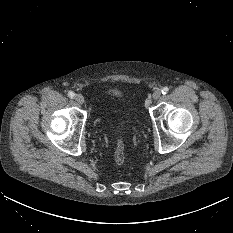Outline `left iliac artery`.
I'll return each mask as SVG.
<instances>
[{
    "mask_svg": "<svg viewBox=\"0 0 233 233\" xmlns=\"http://www.w3.org/2000/svg\"><path fill=\"white\" fill-rule=\"evenodd\" d=\"M168 91H169V88H168V87H164V88L162 89V94H167Z\"/></svg>",
    "mask_w": 233,
    "mask_h": 233,
    "instance_id": "left-iliac-artery-1",
    "label": "left iliac artery"
}]
</instances>
